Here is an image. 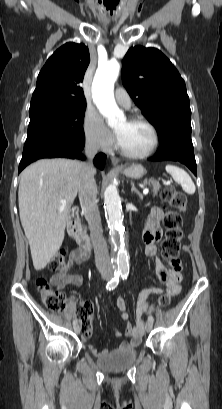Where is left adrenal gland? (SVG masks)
Wrapping results in <instances>:
<instances>
[{
	"label": "left adrenal gland",
	"instance_id": "left-adrenal-gland-1",
	"mask_svg": "<svg viewBox=\"0 0 222 409\" xmlns=\"http://www.w3.org/2000/svg\"><path fill=\"white\" fill-rule=\"evenodd\" d=\"M131 192H135L139 199L142 200L143 199V195L141 194V192L135 187L134 183L131 184Z\"/></svg>",
	"mask_w": 222,
	"mask_h": 409
}]
</instances>
